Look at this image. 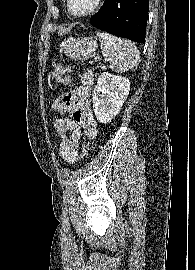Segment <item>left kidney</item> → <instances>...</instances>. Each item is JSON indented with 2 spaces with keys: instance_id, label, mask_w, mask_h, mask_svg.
<instances>
[{
  "instance_id": "5707ae66",
  "label": "left kidney",
  "mask_w": 195,
  "mask_h": 270,
  "mask_svg": "<svg viewBox=\"0 0 195 270\" xmlns=\"http://www.w3.org/2000/svg\"><path fill=\"white\" fill-rule=\"evenodd\" d=\"M130 81L126 77L103 72L93 91V110L100 123L111 121L127 99Z\"/></svg>"
}]
</instances>
